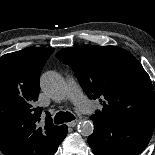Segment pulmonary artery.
I'll use <instances>...</instances> for the list:
<instances>
[{"mask_svg":"<svg viewBox=\"0 0 155 155\" xmlns=\"http://www.w3.org/2000/svg\"><path fill=\"white\" fill-rule=\"evenodd\" d=\"M68 95L80 112L90 114L94 111L93 103L84 95L78 83L72 78L68 80Z\"/></svg>","mask_w":155,"mask_h":155,"instance_id":"pulmonary-artery-1","label":"pulmonary artery"}]
</instances>
